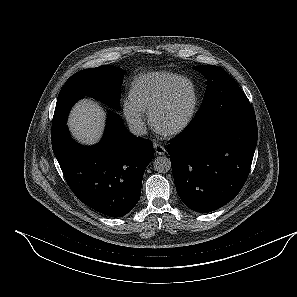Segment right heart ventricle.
I'll return each mask as SVG.
<instances>
[{
	"mask_svg": "<svg viewBox=\"0 0 297 297\" xmlns=\"http://www.w3.org/2000/svg\"><path fill=\"white\" fill-rule=\"evenodd\" d=\"M178 76L172 72H148L140 75L131 84L129 100L142 112L149 113Z\"/></svg>",
	"mask_w": 297,
	"mask_h": 297,
	"instance_id": "right-heart-ventricle-1",
	"label": "right heart ventricle"
}]
</instances>
